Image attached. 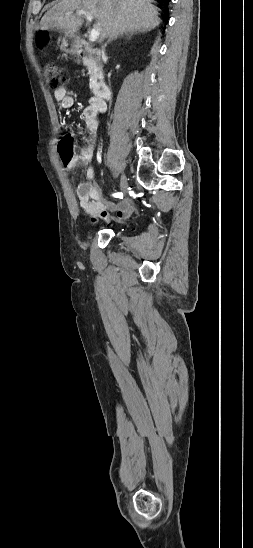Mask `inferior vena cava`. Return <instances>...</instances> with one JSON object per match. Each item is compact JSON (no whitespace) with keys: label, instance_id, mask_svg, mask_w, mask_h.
I'll use <instances>...</instances> for the list:
<instances>
[{"label":"inferior vena cava","instance_id":"1","mask_svg":"<svg viewBox=\"0 0 253 548\" xmlns=\"http://www.w3.org/2000/svg\"><path fill=\"white\" fill-rule=\"evenodd\" d=\"M104 49H105V47L103 46V47H102V52H104Z\"/></svg>","mask_w":253,"mask_h":548}]
</instances>
